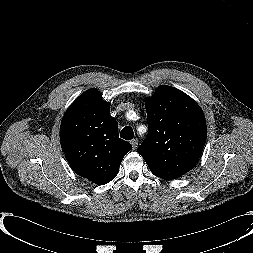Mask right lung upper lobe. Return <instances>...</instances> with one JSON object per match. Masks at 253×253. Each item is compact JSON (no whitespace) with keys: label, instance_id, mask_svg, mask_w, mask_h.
Instances as JSON below:
<instances>
[{"label":"right lung upper lobe","instance_id":"1","mask_svg":"<svg viewBox=\"0 0 253 253\" xmlns=\"http://www.w3.org/2000/svg\"><path fill=\"white\" fill-rule=\"evenodd\" d=\"M60 142L72 169L97 185L116 177L124 155L132 149L119 138L110 104L96 89L82 93L66 111Z\"/></svg>","mask_w":253,"mask_h":253}]
</instances>
